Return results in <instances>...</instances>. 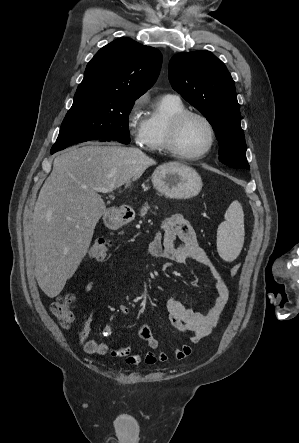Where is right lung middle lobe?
<instances>
[{
	"mask_svg": "<svg viewBox=\"0 0 299 443\" xmlns=\"http://www.w3.org/2000/svg\"><path fill=\"white\" fill-rule=\"evenodd\" d=\"M135 100L102 92L76 93L51 150L95 139L130 143L128 117Z\"/></svg>",
	"mask_w": 299,
	"mask_h": 443,
	"instance_id": "obj_1",
	"label": "right lung middle lobe"
}]
</instances>
